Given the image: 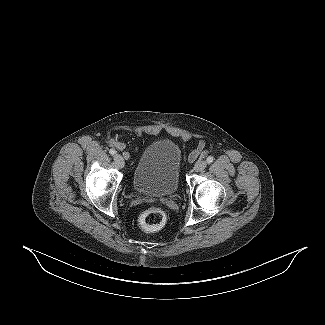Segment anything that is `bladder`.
Masks as SVG:
<instances>
[{
  "label": "bladder",
  "mask_w": 325,
  "mask_h": 325,
  "mask_svg": "<svg viewBox=\"0 0 325 325\" xmlns=\"http://www.w3.org/2000/svg\"><path fill=\"white\" fill-rule=\"evenodd\" d=\"M181 150L173 141L151 142L143 151L133 173V186L141 194L166 196L179 184Z\"/></svg>",
  "instance_id": "bladder-1"
}]
</instances>
